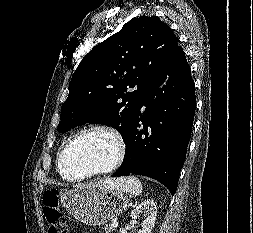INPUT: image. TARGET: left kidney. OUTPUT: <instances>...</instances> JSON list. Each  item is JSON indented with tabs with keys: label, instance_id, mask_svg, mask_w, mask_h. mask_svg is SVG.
<instances>
[{
	"label": "left kidney",
	"instance_id": "1",
	"mask_svg": "<svg viewBox=\"0 0 253 233\" xmlns=\"http://www.w3.org/2000/svg\"><path fill=\"white\" fill-rule=\"evenodd\" d=\"M144 213L148 217L143 221L142 230L139 233H151L157 216V207L152 199L141 202L131 213V218L137 220Z\"/></svg>",
	"mask_w": 253,
	"mask_h": 233
}]
</instances>
